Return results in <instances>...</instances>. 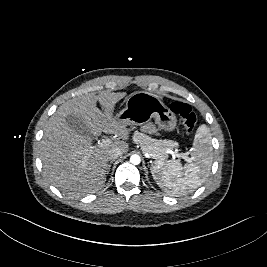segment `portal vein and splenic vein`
<instances>
[{
	"instance_id": "portal-vein-and-splenic-vein-1",
	"label": "portal vein and splenic vein",
	"mask_w": 267,
	"mask_h": 267,
	"mask_svg": "<svg viewBox=\"0 0 267 267\" xmlns=\"http://www.w3.org/2000/svg\"><path fill=\"white\" fill-rule=\"evenodd\" d=\"M112 142V140L110 138H104L102 139V141L99 143V145L103 146V145H108ZM168 153H170L172 156H178V157H182L185 160H188V157L185 154H177L174 151H168ZM145 157L147 158H154V156L148 154V153H144Z\"/></svg>"
}]
</instances>
